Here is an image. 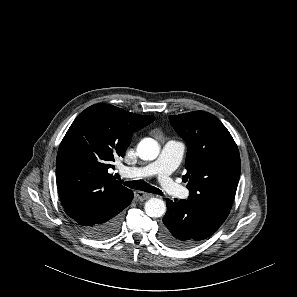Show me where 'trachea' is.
Instances as JSON below:
<instances>
[{
    "mask_svg": "<svg viewBox=\"0 0 297 297\" xmlns=\"http://www.w3.org/2000/svg\"><path fill=\"white\" fill-rule=\"evenodd\" d=\"M116 178L120 180V177L118 175ZM121 182L123 185H125L129 188L135 189V190H141V191L148 192V193L163 195L162 191H160L156 187L151 186L150 184L146 183L143 180H134L131 182H124L122 180Z\"/></svg>",
    "mask_w": 297,
    "mask_h": 297,
    "instance_id": "obj_1",
    "label": "trachea"
}]
</instances>
